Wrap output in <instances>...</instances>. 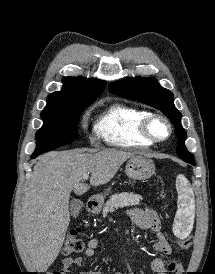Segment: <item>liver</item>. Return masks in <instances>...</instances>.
Wrapping results in <instances>:
<instances>
[{
  "label": "liver",
  "mask_w": 215,
  "mask_h": 274,
  "mask_svg": "<svg viewBox=\"0 0 215 274\" xmlns=\"http://www.w3.org/2000/svg\"><path fill=\"white\" fill-rule=\"evenodd\" d=\"M132 156L115 149L90 154L77 149L39 157L18 217L20 244L36 270L46 272L60 252L70 222L71 191L82 195L90 186L108 183ZM89 172L90 186L81 183Z\"/></svg>",
  "instance_id": "liver-1"
}]
</instances>
